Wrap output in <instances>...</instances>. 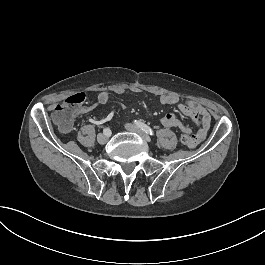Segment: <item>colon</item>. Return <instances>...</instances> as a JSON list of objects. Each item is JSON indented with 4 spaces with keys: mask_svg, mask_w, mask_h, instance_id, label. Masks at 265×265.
Listing matches in <instances>:
<instances>
[{
    "mask_svg": "<svg viewBox=\"0 0 265 265\" xmlns=\"http://www.w3.org/2000/svg\"><path fill=\"white\" fill-rule=\"evenodd\" d=\"M86 99H87L86 93L69 96L67 102H63L62 104H59L57 106L53 116L54 120L65 128L69 127L70 122L72 120V113L68 110L69 106L76 105L81 101H85ZM182 141L185 145L190 147L191 145L190 135L185 133L182 136Z\"/></svg>",
    "mask_w": 265,
    "mask_h": 265,
    "instance_id": "5ec220e1",
    "label": "colon"
}]
</instances>
